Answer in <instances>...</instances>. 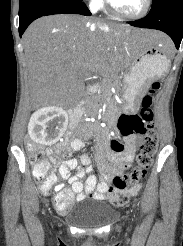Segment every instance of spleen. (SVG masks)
<instances>
[{
  "instance_id": "3e777b00",
  "label": "spleen",
  "mask_w": 183,
  "mask_h": 246,
  "mask_svg": "<svg viewBox=\"0 0 183 246\" xmlns=\"http://www.w3.org/2000/svg\"><path fill=\"white\" fill-rule=\"evenodd\" d=\"M139 66L144 67V66H145V62H144V61H140V62L136 65L135 69H137Z\"/></svg>"
}]
</instances>
